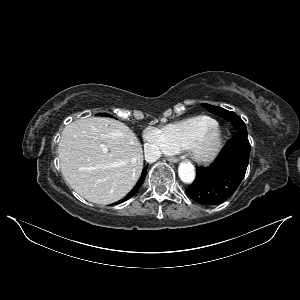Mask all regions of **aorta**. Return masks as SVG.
I'll list each match as a JSON object with an SVG mask.
<instances>
[{
    "label": "aorta",
    "mask_w": 300,
    "mask_h": 300,
    "mask_svg": "<svg viewBox=\"0 0 300 300\" xmlns=\"http://www.w3.org/2000/svg\"><path fill=\"white\" fill-rule=\"evenodd\" d=\"M178 175L182 182L192 183L195 180V168L191 163L181 162L178 167Z\"/></svg>",
    "instance_id": "1"
}]
</instances>
